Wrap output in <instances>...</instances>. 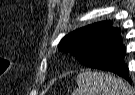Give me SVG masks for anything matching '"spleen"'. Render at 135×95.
<instances>
[{
  "label": "spleen",
  "mask_w": 135,
  "mask_h": 95,
  "mask_svg": "<svg viewBox=\"0 0 135 95\" xmlns=\"http://www.w3.org/2000/svg\"><path fill=\"white\" fill-rule=\"evenodd\" d=\"M76 83L78 88L72 95H133L124 80L104 72L79 73Z\"/></svg>",
  "instance_id": "1"
}]
</instances>
